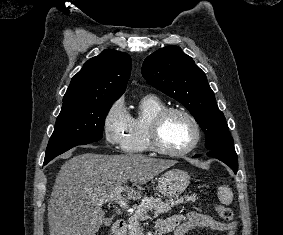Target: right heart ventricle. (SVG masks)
<instances>
[{"label":"right heart ventricle","mask_w":283,"mask_h":235,"mask_svg":"<svg viewBox=\"0 0 283 235\" xmlns=\"http://www.w3.org/2000/svg\"><path fill=\"white\" fill-rule=\"evenodd\" d=\"M166 104L154 95L140 99L136 112L129 115V123L123 135L122 148L127 153H146L150 151L148 130L153 118Z\"/></svg>","instance_id":"right-heart-ventricle-1"}]
</instances>
